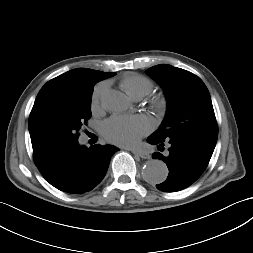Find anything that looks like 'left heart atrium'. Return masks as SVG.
<instances>
[{
	"label": "left heart atrium",
	"mask_w": 253,
	"mask_h": 253,
	"mask_svg": "<svg viewBox=\"0 0 253 253\" xmlns=\"http://www.w3.org/2000/svg\"><path fill=\"white\" fill-rule=\"evenodd\" d=\"M152 122L145 116L112 117L102 124V134L111 143L132 146L152 130Z\"/></svg>",
	"instance_id": "39dd6f15"
}]
</instances>
